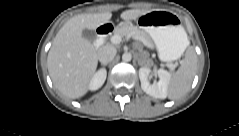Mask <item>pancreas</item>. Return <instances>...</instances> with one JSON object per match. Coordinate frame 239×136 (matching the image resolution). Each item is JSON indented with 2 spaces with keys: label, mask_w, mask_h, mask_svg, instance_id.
<instances>
[{
  "label": "pancreas",
  "mask_w": 239,
  "mask_h": 136,
  "mask_svg": "<svg viewBox=\"0 0 239 136\" xmlns=\"http://www.w3.org/2000/svg\"><path fill=\"white\" fill-rule=\"evenodd\" d=\"M114 35H119L121 37L129 36L134 38H139L144 40L149 46H153L149 37L140 29L134 26H129L127 24H122L117 26L114 30Z\"/></svg>",
  "instance_id": "pancreas-1"
}]
</instances>
